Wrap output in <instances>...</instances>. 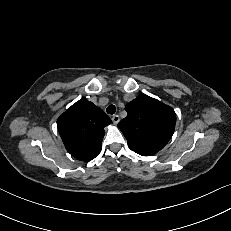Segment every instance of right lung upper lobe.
I'll return each mask as SVG.
<instances>
[{"label":"right lung upper lobe","mask_w":231,"mask_h":231,"mask_svg":"<svg viewBox=\"0 0 231 231\" xmlns=\"http://www.w3.org/2000/svg\"><path fill=\"white\" fill-rule=\"evenodd\" d=\"M111 123L102 109L81 99L57 120V127L67 151L76 159L90 161L102 149L104 127Z\"/></svg>","instance_id":"cb5924a9"}]
</instances>
